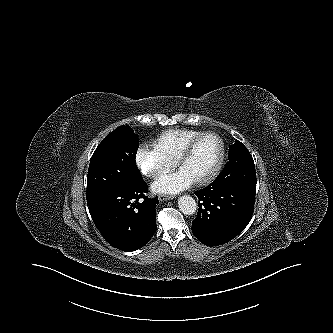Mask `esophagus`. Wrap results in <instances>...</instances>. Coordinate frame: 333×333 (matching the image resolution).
Returning a JSON list of instances; mask_svg holds the SVG:
<instances>
[{"mask_svg":"<svg viewBox=\"0 0 333 333\" xmlns=\"http://www.w3.org/2000/svg\"><path fill=\"white\" fill-rule=\"evenodd\" d=\"M174 198V196L172 195H159L158 199L159 201H165V200H172Z\"/></svg>","mask_w":333,"mask_h":333,"instance_id":"34e87169","label":"esophagus"}]
</instances>
